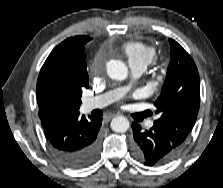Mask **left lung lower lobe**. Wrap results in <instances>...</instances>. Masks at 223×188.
I'll return each mask as SVG.
<instances>
[{
    "mask_svg": "<svg viewBox=\"0 0 223 188\" xmlns=\"http://www.w3.org/2000/svg\"><path fill=\"white\" fill-rule=\"evenodd\" d=\"M135 158L146 166L164 165L172 161L182 146L159 125L142 130L136 122L132 123Z\"/></svg>",
    "mask_w": 223,
    "mask_h": 188,
    "instance_id": "1",
    "label": "left lung lower lobe"
}]
</instances>
